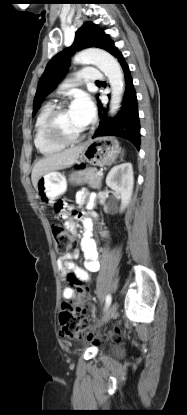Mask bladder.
I'll return each mask as SVG.
<instances>
[{"label":"bladder","instance_id":"bladder-1","mask_svg":"<svg viewBox=\"0 0 187 415\" xmlns=\"http://www.w3.org/2000/svg\"><path fill=\"white\" fill-rule=\"evenodd\" d=\"M114 353H116V354H119L120 353V349L119 348H117V347H115V348H113V350H112Z\"/></svg>","mask_w":187,"mask_h":415}]
</instances>
